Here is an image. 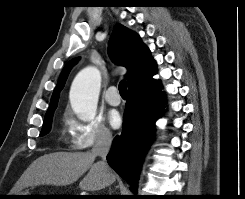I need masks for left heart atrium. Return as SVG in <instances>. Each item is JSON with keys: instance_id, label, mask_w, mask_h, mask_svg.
Listing matches in <instances>:
<instances>
[{"instance_id": "obj_1", "label": "left heart atrium", "mask_w": 245, "mask_h": 199, "mask_svg": "<svg viewBox=\"0 0 245 199\" xmlns=\"http://www.w3.org/2000/svg\"><path fill=\"white\" fill-rule=\"evenodd\" d=\"M108 121L113 128L117 129L122 123V118L117 111H111L108 115Z\"/></svg>"}]
</instances>
